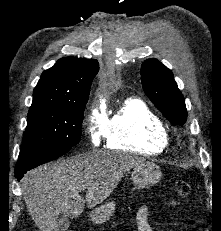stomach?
I'll use <instances>...</instances> for the list:
<instances>
[{
	"mask_svg": "<svg viewBox=\"0 0 221 231\" xmlns=\"http://www.w3.org/2000/svg\"><path fill=\"white\" fill-rule=\"evenodd\" d=\"M162 177V172L155 163L143 161L133 168L131 178L138 188H145L156 184ZM115 211V203H105L90 212V218L97 224L108 221Z\"/></svg>",
	"mask_w": 221,
	"mask_h": 231,
	"instance_id": "stomach-1",
	"label": "stomach"
}]
</instances>
